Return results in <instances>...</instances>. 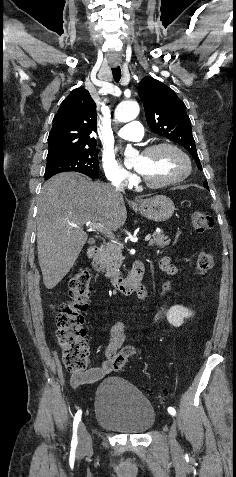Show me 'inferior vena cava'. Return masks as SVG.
Here are the masks:
<instances>
[{
  "label": "inferior vena cava",
  "instance_id": "602c4592",
  "mask_svg": "<svg viewBox=\"0 0 236 477\" xmlns=\"http://www.w3.org/2000/svg\"><path fill=\"white\" fill-rule=\"evenodd\" d=\"M114 187H115V191L122 195V192H124V188H123V185L121 183H113Z\"/></svg>",
  "mask_w": 236,
  "mask_h": 477
}]
</instances>
